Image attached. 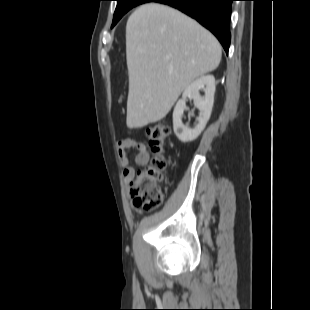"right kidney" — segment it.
Wrapping results in <instances>:
<instances>
[{
    "instance_id": "obj_1",
    "label": "right kidney",
    "mask_w": 310,
    "mask_h": 310,
    "mask_svg": "<svg viewBox=\"0 0 310 310\" xmlns=\"http://www.w3.org/2000/svg\"><path fill=\"white\" fill-rule=\"evenodd\" d=\"M200 90L205 92L204 97L200 95ZM214 93L215 78L213 75L201 76L185 88L182 98L178 100L173 111V130L181 142L187 143L195 140L204 130L212 112ZM188 98L193 99L195 106L200 111L194 128L182 123V115L186 109Z\"/></svg>"
}]
</instances>
